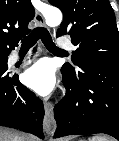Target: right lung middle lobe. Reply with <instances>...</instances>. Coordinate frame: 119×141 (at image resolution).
I'll return each mask as SVG.
<instances>
[{
  "label": "right lung middle lobe",
  "mask_w": 119,
  "mask_h": 141,
  "mask_svg": "<svg viewBox=\"0 0 119 141\" xmlns=\"http://www.w3.org/2000/svg\"><path fill=\"white\" fill-rule=\"evenodd\" d=\"M7 57L0 58V69H7Z\"/></svg>",
  "instance_id": "1"
}]
</instances>
